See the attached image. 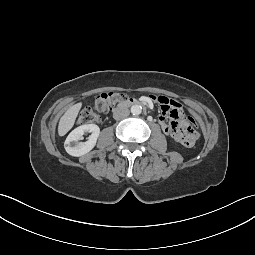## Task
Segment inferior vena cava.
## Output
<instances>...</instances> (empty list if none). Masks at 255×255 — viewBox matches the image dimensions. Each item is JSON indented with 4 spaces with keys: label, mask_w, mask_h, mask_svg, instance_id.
Here are the masks:
<instances>
[{
    "label": "inferior vena cava",
    "mask_w": 255,
    "mask_h": 255,
    "mask_svg": "<svg viewBox=\"0 0 255 255\" xmlns=\"http://www.w3.org/2000/svg\"><path fill=\"white\" fill-rule=\"evenodd\" d=\"M129 113L130 112H129L128 108L121 106V107L114 109L113 118L115 120L124 119L129 115Z\"/></svg>",
    "instance_id": "inferior-vena-cava-1"
}]
</instances>
